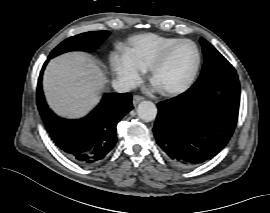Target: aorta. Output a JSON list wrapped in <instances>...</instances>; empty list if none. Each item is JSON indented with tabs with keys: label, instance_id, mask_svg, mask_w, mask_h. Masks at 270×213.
I'll return each instance as SVG.
<instances>
[{
	"label": "aorta",
	"instance_id": "aorta-1",
	"mask_svg": "<svg viewBox=\"0 0 270 213\" xmlns=\"http://www.w3.org/2000/svg\"><path fill=\"white\" fill-rule=\"evenodd\" d=\"M137 113L140 119L150 122L156 118L157 107L151 101H142L138 105Z\"/></svg>",
	"mask_w": 270,
	"mask_h": 213
}]
</instances>
